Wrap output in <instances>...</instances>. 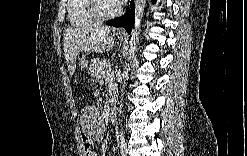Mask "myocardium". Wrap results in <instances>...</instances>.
Listing matches in <instances>:
<instances>
[{
  "label": "myocardium",
  "mask_w": 247,
  "mask_h": 156,
  "mask_svg": "<svg viewBox=\"0 0 247 156\" xmlns=\"http://www.w3.org/2000/svg\"><path fill=\"white\" fill-rule=\"evenodd\" d=\"M100 2H101L100 0H91L89 1L88 4V9L90 14L97 22L108 21L120 15L121 7L119 5H115L113 11H111L110 13L107 14L102 13L100 11Z\"/></svg>",
  "instance_id": "myocardium-1"
}]
</instances>
